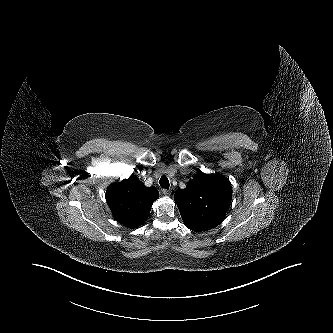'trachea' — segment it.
Returning a JSON list of instances; mask_svg holds the SVG:
<instances>
[{
	"mask_svg": "<svg viewBox=\"0 0 333 333\" xmlns=\"http://www.w3.org/2000/svg\"><path fill=\"white\" fill-rule=\"evenodd\" d=\"M159 184L162 188L168 189L170 184H169V180L166 176H162L160 178Z\"/></svg>",
	"mask_w": 333,
	"mask_h": 333,
	"instance_id": "3493384b",
	"label": "trachea"
}]
</instances>
